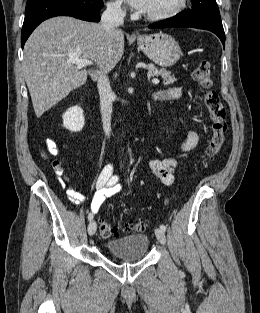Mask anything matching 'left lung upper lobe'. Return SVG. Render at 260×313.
I'll list each match as a JSON object with an SVG mask.
<instances>
[{
    "label": "left lung upper lobe",
    "mask_w": 260,
    "mask_h": 313,
    "mask_svg": "<svg viewBox=\"0 0 260 313\" xmlns=\"http://www.w3.org/2000/svg\"><path fill=\"white\" fill-rule=\"evenodd\" d=\"M191 1L192 9L190 11L179 13L170 19L173 20L178 18H185L196 22L210 23L222 26L219 9L216 5L215 0Z\"/></svg>",
    "instance_id": "1"
}]
</instances>
